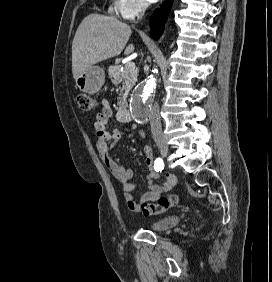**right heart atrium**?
<instances>
[{
    "mask_svg": "<svg viewBox=\"0 0 272 282\" xmlns=\"http://www.w3.org/2000/svg\"><path fill=\"white\" fill-rule=\"evenodd\" d=\"M146 0H113L111 12L121 20L132 21L147 9Z\"/></svg>",
    "mask_w": 272,
    "mask_h": 282,
    "instance_id": "1",
    "label": "right heart atrium"
}]
</instances>
